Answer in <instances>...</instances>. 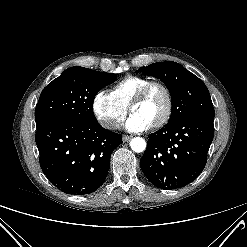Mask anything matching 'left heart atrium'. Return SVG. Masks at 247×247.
Instances as JSON below:
<instances>
[{"label":"left heart atrium","instance_id":"39dd6f15","mask_svg":"<svg viewBox=\"0 0 247 247\" xmlns=\"http://www.w3.org/2000/svg\"><path fill=\"white\" fill-rule=\"evenodd\" d=\"M126 128L132 132L147 130L151 125L136 113H132L125 123Z\"/></svg>","mask_w":247,"mask_h":247}]
</instances>
